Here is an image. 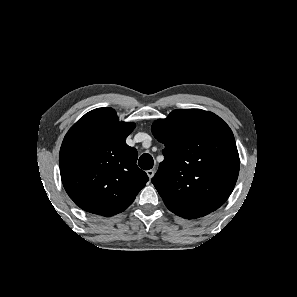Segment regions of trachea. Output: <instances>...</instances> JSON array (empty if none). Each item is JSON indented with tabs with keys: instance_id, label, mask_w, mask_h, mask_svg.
<instances>
[{
	"instance_id": "3493384b",
	"label": "trachea",
	"mask_w": 297,
	"mask_h": 297,
	"mask_svg": "<svg viewBox=\"0 0 297 297\" xmlns=\"http://www.w3.org/2000/svg\"><path fill=\"white\" fill-rule=\"evenodd\" d=\"M154 161L153 158L150 154H143L138 161V165L140 166V168H142L143 170H149L153 167Z\"/></svg>"
}]
</instances>
